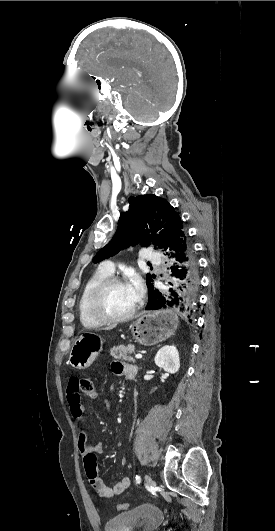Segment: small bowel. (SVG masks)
<instances>
[{"instance_id":"1","label":"small bowel","mask_w":275,"mask_h":531,"mask_svg":"<svg viewBox=\"0 0 275 531\" xmlns=\"http://www.w3.org/2000/svg\"><path fill=\"white\" fill-rule=\"evenodd\" d=\"M112 370L119 375L135 376L137 368L129 363L121 361H114L112 364ZM67 380L69 383H65L64 392L67 395V401L70 408V414L73 423L78 431V449L83 457L84 469L87 478L91 485L95 488L98 494L102 498L110 499L116 495L123 493L130 486V478L127 476L122 477L112 487L105 484L103 479L97 473L96 456L101 454L104 450L102 443L97 442L90 444L87 441V433L84 427L85 416L84 407L81 404L79 394L81 392L80 382L82 377L80 373H69ZM106 406L110 408L108 401L105 402ZM129 462L128 456L122 458V465L127 466Z\"/></svg>"}]
</instances>
